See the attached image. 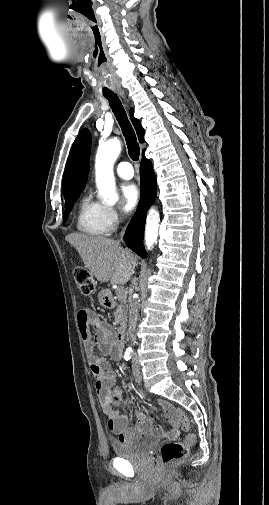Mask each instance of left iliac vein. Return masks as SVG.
I'll return each instance as SVG.
<instances>
[{
    "label": "left iliac vein",
    "mask_w": 269,
    "mask_h": 505,
    "mask_svg": "<svg viewBox=\"0 0 269 505\" xmlns=\"http://www.w3.org/2000/svg\"><path fill=\"white\" fill-rule=\"evenodd\" d=\"M132 373H133V377H134V380L140 384L141 381H142V374H141V371H140V368L138 367L137 363L135 362V360L133 361L132 363Z\"/></svg>",
    "instance_id": "obj_1"
}]
</instances>
